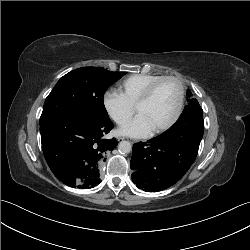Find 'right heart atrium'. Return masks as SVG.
Wrapping results in <instances>:
<instances>
[{
    "instance_id": "d8ad5b80",
    "label": "right heart atrium",
    "mask_w": 250,
    "mask_h": 250,
    "mask_svg": "<svg viewBox=\"0 0 250 250\" xmlns=\"http://www.w3.org/2000/svg\"><path fill=\"white\" fill-rule=\"evenodd\" d=\"M102 103L108 116L119 125L124 124L134 112V106L115 89L104 93Z\"/></svg>"
}]
</instances>
